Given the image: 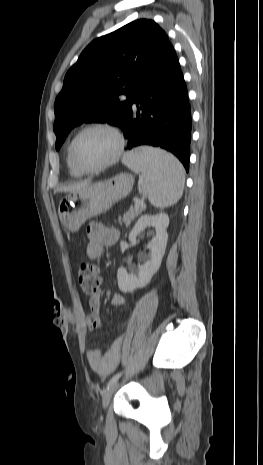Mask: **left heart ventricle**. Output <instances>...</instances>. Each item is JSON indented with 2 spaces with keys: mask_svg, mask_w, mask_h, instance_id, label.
<instances>
[{
  "mask_svg": "<svg viewBox=\"0 0 263 465\" xmlns=\"http://www.w3.org/2000/svg\"><path fill=\"white\" fill-rule=\"evenodd\" d=\"M116 140L103 129H94L82 134L75 145V157L86 168L96 167L109 160L115 153Z\"/></svg>",
  "mask_w": 263,
  "mask_h": 465,
  "instance_id": "b2bd125f",
  "label": "left heart ventricle"
}]
</instances>
